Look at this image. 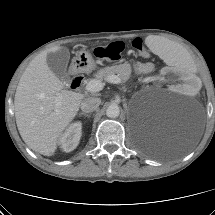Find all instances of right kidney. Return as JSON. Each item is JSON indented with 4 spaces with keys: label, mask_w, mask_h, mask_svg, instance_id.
Listing matches in <instances>:
<instances>
[{
    "label": "right kidney",
    "mask_w": 215,
    "mask_h": 215,
    "mask_svg": "<svg viewBox=\"0 0 215 215\" xmlns=\"http://www.w3.org/2000/svg\"><path fill=\"white\" fill-rule=\"evenodd\" d=\"M82 123L75 122L72 123L66 131L61 135L59 139V144L63 151L70 152L74 150L79 144L81 137Z\"/></svg>",
    "instance_id": "ca27d5eb"
}]
</instances>
